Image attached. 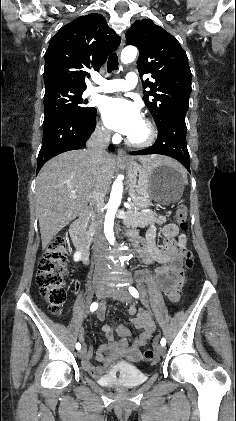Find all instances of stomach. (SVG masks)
Wrapping results in <instances>:
<instances>
[{"instance_id":"0dacf381","label":"stomach","mask_w":236,"mask_h":421,"mask_svg":"<svg viewBox=\"0 0 236 421\" xmlns=\"http://www.w3.org/2000/svg\"><path fill=\"white\" fill-rule=\"evenodd\" d=\"M120 164L127 170L129 194L138 208H148L152 200L160 204H170L181 198L185 178L173 166H143L133 158Z\"/></svg>"}]
</instances>
